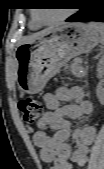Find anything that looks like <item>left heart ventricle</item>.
Listing matches in <instances>:
<instances>
[{
    "label": "left heart ventricle",
    "instance_id": "b2bd125f",
    "mask_svg": "<svg viewBox=\"0 0 104 169\" xmlns=\"http://www.w3.org/2000/svg\"><path fill=\"white\" fill-rule=\"evenodd\" d=\"M63 14L61 9H45L37 11V16L43 21H52L57 19Z\"/></svg>",
    "mask_w": 104,
    "mask_h": 169
}]
</instances>
